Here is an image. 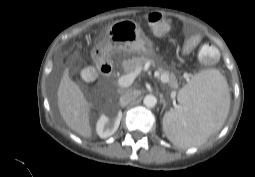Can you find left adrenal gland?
I'll return each mask as SVG.
<instances>
[{"instance_id":"left-adrenal-gland-1","label":"left adrenal gland","mask_w":255,"mask_h":177,"mask_svg":"<svg viewBox=\"0 0 255 177\" xmlns=\"http://www.w3.org/2000/svg\"><path fill=\"white\" fill-rule=\"evenodd\" d=\"M165 105H166V103H165V101L163 100V109L165 108Z\"/></svg>"}]
</instances>
